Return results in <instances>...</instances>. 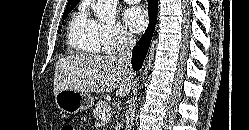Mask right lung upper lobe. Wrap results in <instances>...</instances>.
Segmentation results:
<instances>
[{"label":"right lung upper lobe","mask_w":249,"mask_h":130,"mask_svg":"<svg viewBox=\"0 0 249 130\" xmlns=\"http://www.w3.org/2000/svg\"><path fill=\"white\" fill-rule=\"evenodd\" d=\"M79 0H69L67 5L78 3Z\"/></svg>","instance_id":"obj_1"}]
</instances>
